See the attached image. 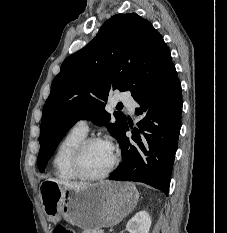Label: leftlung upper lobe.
Returning <instances> with one entry per match:
<instances>
[{
    "mask_svg": "<svg viewBox=\"0 0 227 233\" xmlns=\"http://www.w3.org/2000/svg\"><path fill=\"white\" fill-rule=\"evenodd\" d=\"M173 65L162 36L136 13L117 14L83 49L67 57L54 78L43 107L37 164L44 172L66 132L81 119L107 125L117 140L127 122L115 112V123L104 109L112 90L130 91L133 97L157 84Z\"/></svg>",
    "mask_w": 227,
    "mask_h": 233,
    "instance_id": "obj_1",
    "label": "left lung upper lobe"
}]
</instances>
